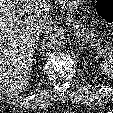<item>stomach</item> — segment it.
<instances>
[{
  "label": "stomach",
  "mask_w": 113,
  "mask_h": 113,
  "mask_svg": "<svg viewBox=\"0 0 113 113\" xmlns=\"http://www.w3.org/2000/svg\"><path fill=\"white\" fill-rule=\"evenodd\" d=\"M59 2L69 12H74L81 4V0H59Z\"/></svg>",
  "instance_id": "1"
}]
</instances>
